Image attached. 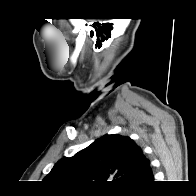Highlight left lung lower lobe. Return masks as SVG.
Returning a JSON list of instances; mask_svg holds the SVG:
<instances>
[{"label": "left lung lower lobe", "instance_id": "obj_1", "mask_svg": "<svg viewBox=\"0 0 196 196\" xmlns=\"http://www.w3.org/2000/svg\"><path fill=\"white\" fill-rule=\"evenodd\" d=\"M153 179L154 178H153L152 169H151V167H149L148 170H147V173L144 177V180L142 182V185L153 182Z\"/></svg>", "mask_w": 196, "mask_h": 196}]
</instances>
